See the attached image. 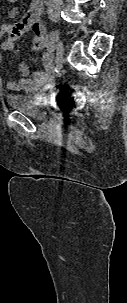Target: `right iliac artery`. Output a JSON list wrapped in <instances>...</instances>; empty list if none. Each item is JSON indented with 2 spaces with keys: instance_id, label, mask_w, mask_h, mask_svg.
I'll return each mask as SVG.
<instances>
[{
  "instance_id": "82829eb1",
  "label": "right iliac artery",
  "mask_w": 127,
  "mask_h": 303,
  "mask_svg": "<svg viewBox=\"0 0 127 303\" xmlns=\"http://www.w3.org/2000/svg\"><path fill=\"white\" fill-rule=\"evenodd\" d=\"M47 47L50 52H53L55 49V45L53 42H49Z\"/></svg>"
}]
</instances>
